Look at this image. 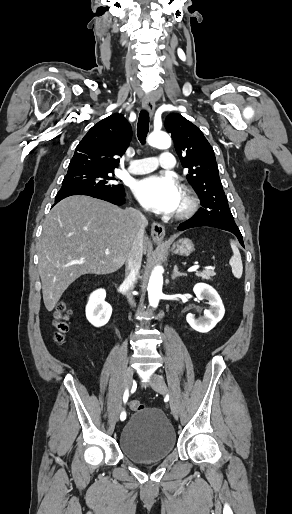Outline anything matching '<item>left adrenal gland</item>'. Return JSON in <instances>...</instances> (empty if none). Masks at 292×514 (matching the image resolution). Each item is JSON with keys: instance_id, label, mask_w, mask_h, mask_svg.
Listing matches in <instances>:
<instances>
[{"instance_id": "obj_1", "label": "left adrenal gland", "mask_w": 292, "mask_h": 514, "mask_svg": "<svg viewBox=\"0 0 292 514\" xmlns=\"http://www.w3.org/2000/svg\"><path fill=\"white\" fill-rule=\"evenodd\" d=\"M178 276H187V274H181V272H178L177 266H174L172 280H175V278H178Z\"/></svg>"}]
</instances>
